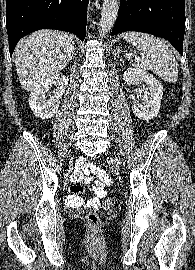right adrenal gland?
<instances>
[{"mask_svg":"<svg viewBox=\"0 0 195 270\" xmlns=\"http://www.w3.org/2000/svg\"><path fill=\"white\" fill-rule=\"evenodd\" d=\"M76 50H77V48L75 47L74 52H73V56L76 55Z\"/></svg>","mask_w":195,"mask_h":270,"instance_id":"obj_1","label":"right adrenal gland"}]
</instances>
